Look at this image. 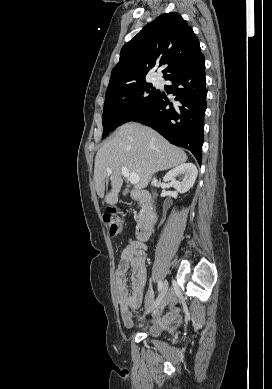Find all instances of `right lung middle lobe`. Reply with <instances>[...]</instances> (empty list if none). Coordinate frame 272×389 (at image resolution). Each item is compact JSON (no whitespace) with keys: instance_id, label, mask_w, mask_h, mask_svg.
<instances>
[{"instance_id":"right-lung-middle-lobe-1","label":"right lung middle lobe","mask_w":272,"mask_h":389,"mask_svg":"<svg viewBox=\"0 0 272 389\" xmlns=\"http://www.w3.org/2000/svg\"><path fill=\"white\" fill-rule=\"evenodd\" d=\"M160 91L146 81L106 92L103 110V138L118 126L132 121L151 105Z\"/></svg>"}]
</instances>
